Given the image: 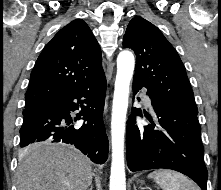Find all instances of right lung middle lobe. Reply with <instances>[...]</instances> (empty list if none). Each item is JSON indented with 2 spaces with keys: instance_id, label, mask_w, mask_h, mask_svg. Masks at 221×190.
Masks as SVG:
<instances>
[{
  "instance_id": "right-lung-middle-lobe-1",
  "label": "right lung middle lobe",
  "mask_w": 221,
  "mask_h": 190,
  "mask_svg": "<svg viewBox=\"0 0 221 190\" xmlns=\"http://www.w3.org/2000/svg\"><path fill=\"white\" fill-rule=\"evenodd\" d=\"M29 111H31V110H24V111H23V115L26 114V113H28Z\"/></svg>"
}]
</instances>
